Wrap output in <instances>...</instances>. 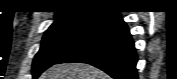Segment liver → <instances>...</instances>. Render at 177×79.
Instances as JSON below:
<instances>
[{"label": "liver", "mask_w": 177, "mask_h": 79, "mask_svg": "<svg viewBox=\"0 0 177 79\" xmlns=\"http://www.w3.org/2000/svg\"><path fill=\"white\" fill-rule=\"evenodd\" d=\"M40 79H109V76L88 64L65 63L53 65Z\"/></svg>", "instance_id": "6515ba94"}]
</instances>
